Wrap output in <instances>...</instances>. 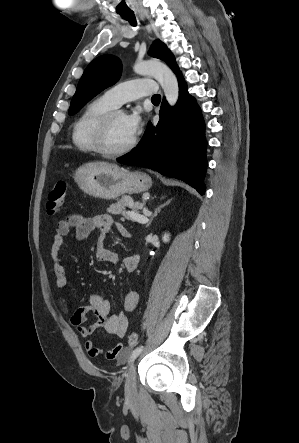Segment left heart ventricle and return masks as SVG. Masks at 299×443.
I'll list each match as a JSON object with an SVG mask.
<instances>
[{
	"label": "left heart ventricle",
	"instance_id": "obj_1",
	"mask_svg": "<svg viewBox=\"0 0 299 443\" xmlns=\"http://www.w3.org/2000/svg\"><path fill=\"white\" fill-rule=\"evenodd\" d=\"M125 116V114H119L112 121L107 138V145L111 150L125 147L135 136L128 128Z\"/></svg>",
	"mask_w": 299,
	"mask_h": 443
}]
</instances>
